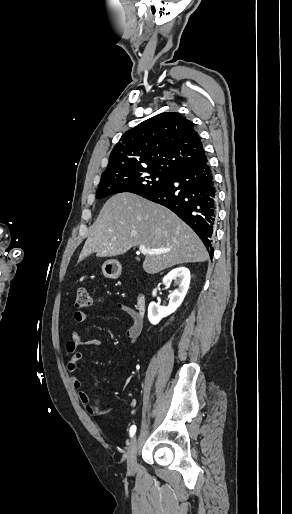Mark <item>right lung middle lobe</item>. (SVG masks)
I'll return each mask as SVG.
<instances>
[{
  "mask_svg": "<svg viewBox=\"0 0 292 514\" xmlns=\"http://www.w3.org/2000/svg\"><path fill=\"white\" fill-rule=\"evenodd\" d=\"M170 176L167 173L154 171L104 179L100 181L96 198L100 199L121 192H131L142 196L162 186Z\"/></svg>",
  "mask_w": 292,
  "mask_h": 514,
  "instance_id": "right-lung-middle-lobe-1",
  "label": "right lung middle lobe"
}]
</instances>
